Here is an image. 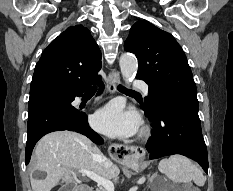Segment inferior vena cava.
Instances as JSON below:
<instances>
[{
  "mask_svg": "<svg viewBox=\"0 0 233 191\" xmlns=\"http://www.w3.org/2000/svg\"><path fill=\"white\" fill-rule=\"evenodd\" d=\"M101 164L105 167V168H108L112 165V162L110 160H108L107 158L103 157L101 160H100Z\"/></svg>",
  "mask_w": 233,
  "mask_h": 191,
  "instance_id": "602c4592",
  "label": "inferior vena cava"
}]
</instances>
